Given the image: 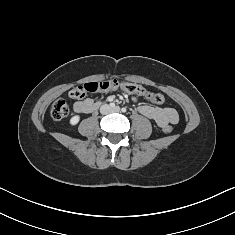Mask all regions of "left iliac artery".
<instances>
[{
    "label": "left iliac artery",
    "mask_w": 235,
    "mask_h": 235,
    "mask_svg": "<svg viewBox=\"0 0 235 235\" xmlns=\"http://www.w3.org/2000/svg\"><path fill=\"white\" fill-rule=\"evenodd\" d=\"M122 112H126V108H122Z\"/></svg>",
    "instance_id": "left-iliac-artery-1"
}]
</instances>
